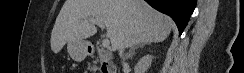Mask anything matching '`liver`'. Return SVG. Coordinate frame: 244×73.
Wrapping results in <instances>:
<instances>
[{"label": "liver", "instance_id": "1", "mask_svg": "<svg viewBox=\"0 0 244 73\" xmlns=\"http://www.w3.org/2000/svg\"><path fill=\"white\" fill-rule=\"evenodd\" d=\"M96 19L106 28L112 51L121 46L164 41L173 21L143 0H66L51 33V49L60 52L71 40H84L97 32Z\"/></svg>", "mask_w": 244, "mask_h": 73}]
</instances>
